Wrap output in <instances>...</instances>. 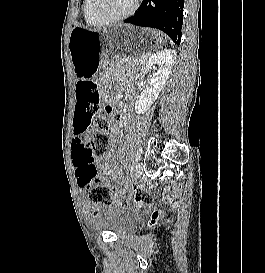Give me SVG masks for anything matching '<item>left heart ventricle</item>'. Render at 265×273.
<instances>
[{
	"instance_id": "1",
	"label": "left heart ventricle",
	"mask_w": 265,
	"mask_h": 273,
	"mask_svg": "<svg viewBox=\"0 0 265 273\" xmlns=\"http://www.w3.org/2000/svg\"><path fill=\"white\" fill-rule=\"evenodd\" d=\"M103 11L110 16H115L128 11L135 0H103Z\"/></svg>"
}]
</instances>
